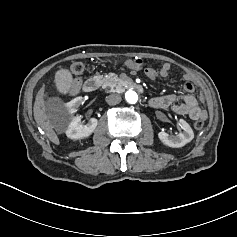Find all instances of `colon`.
Wrapping results in <instances>:
<instances>
[{
  "instance_id": "1",
  "label": "colon",
  "mask_w": 237,
  "mask_h": 237,
  "mask_svg": "<svg viewBox=\"0 0 237 237\" xmlns=\"http://www.w3.org/2000/svg\"><path fill=\"white\" fill-rule=\"evenodd\" d=\"M133 64L136 68H140V69L143 68V62L139 59L134 60ZM84 71H85V65L82 62H74L71 65V72L76 76L82 75ZM144 73L151 80H155L159 77L158 70L155 68H150V67L144 68ZM204 126H205V122L203 120H198L195 123V128L197 130H202Z\"/></svg>"
}]
</instances>
